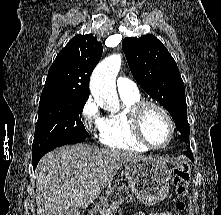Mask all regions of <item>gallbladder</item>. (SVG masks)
<instances>
[{
  "label": "gallbladder",
  "instance_id": "gallbladder-1",
  "mask_svg": "<svg viewBox=\"0 0 221 215\" xmlns=\"http://www.w3.org/2000/svg\"><path fill=\"white\" fill-rule=\"evenodd\" d=\"M64 215H80V211H79L78 208L71 207V208L68 210V213H67V214H64Z\"/></svg>",
  "mask_w": 221,
  "mask_h": 215
}]
</instances>
